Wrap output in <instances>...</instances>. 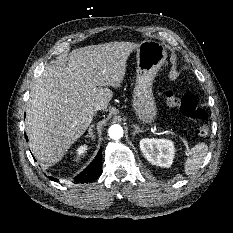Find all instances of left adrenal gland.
<instances>
[{"mask_svg": "<svg viewBox=\"0 0 233 233\" xmlns=\"http://www.w3.org/2000/svg\"><path fill=\"white\" fill-rule=\"evenodd\" d=\"M133 127L135 128L133 136H135L137 133L143 132L137 125H133Z\"/></svg>", "mask_w": 233, "mask_h": 233, "instance_id": "obj_1", "label": "left adrenal gland"}]
</instances>
